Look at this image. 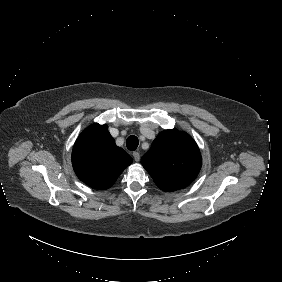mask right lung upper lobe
<instances>
[{"mask_svg":"<svg viewBox=\"0 0 282 282\" xmlns=\"http://www.w3.org/2000/svg\"><path fill=\"white\" fill-rule=\"evenodd\" d=\"M132 158L115 145L107 125L94 123L76 140L72 151V164L77 177L91 188H110Z\"/></svg>","mask_w":282,"mask_h":282,"instance_id":"right-lung-upper-lobe-1","label":"right lung upper lobe"}]
</instances>
